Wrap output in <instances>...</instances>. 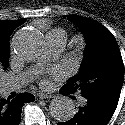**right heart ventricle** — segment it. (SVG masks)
I'll return each instance as SVG.
<instances>
[{
    "label": "right heart ventricle",
    "mask_w": 125,
    "mask_h": 125,
    "mask_svg": "<svg viewBox=\"0 0 125 125\" xmlns=\"http://www.w3.org/2000/svg\"><path fill=\"white\" fill-rule=\"evenodd\" d=\"M50 32H61V33L65 34V31H64L63 29H61V28L53 29V30L50 31Z\"/></svg>",
    "instance_id": "obj_1"
}]
</instances>
